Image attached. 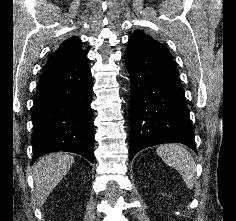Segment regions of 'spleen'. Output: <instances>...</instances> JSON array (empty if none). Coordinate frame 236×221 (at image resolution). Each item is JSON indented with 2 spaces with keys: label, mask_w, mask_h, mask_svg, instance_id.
<instances>
[{
  "label": "spleen",
  "mask_w": 236,
  "mask_h": 221,
  "mask_svg": "<svg viewBox=\"0 0 236 221\" xmlns=\"http://www.w3.org/2000/svg\"><path fill=\"white\" fill-rule=\"evenodd\" d=\"M156 152L166 164L179 172L188 188H193L196 165L188 150L178 144L170 143L158 146Z\"/></svg>",
  "instance_id": "spleen-1"
}]
</instances>
